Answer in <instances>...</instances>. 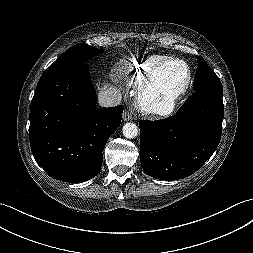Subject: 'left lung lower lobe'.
<instances>
[{"label":"left lung lower lobe","instance_id":"left-lung-lower-lobe-1","mask_svg":"<svg viewBox=\"0 0 253 253\" xmlns=\"http://www.w3.org/2000/svg\"><path fill=\"white\" fill-rule=\"evenodd\" d=\"M223 91L196 90L178 112L166 119L141 120L140 161L160 180L195 173L216 150L222 133Z\"/></svg>","mask_w":253,"mask_h":253}]
</instances>
